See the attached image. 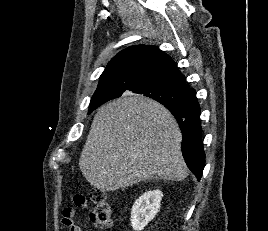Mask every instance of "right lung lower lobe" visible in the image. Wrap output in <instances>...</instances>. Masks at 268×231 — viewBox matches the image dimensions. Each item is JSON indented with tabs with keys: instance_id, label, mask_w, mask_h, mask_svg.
<instances>
[{
	"instance_id": "98d812e1",
	"label": "right lung lower lobe",
	"mask_w": 268,
	"mask_h": 231,
	"mask_svg": "<svg viewBox=\"0 0 268 231\" xmlns=\"http://www.w3.org/2000/svg\"><path fill=\"white\" fill-rule=\"evenodd\" d=\"M164 106L179 123L183 137L181 143L183 157L188 168L200 180L205 165V153L201 139L200 106L197 98L195 97L188 105L166 104Z\"/></svg>"
}]
</instances>
